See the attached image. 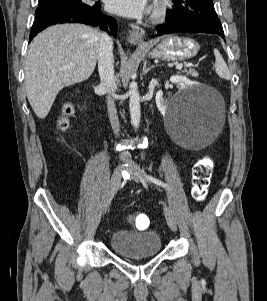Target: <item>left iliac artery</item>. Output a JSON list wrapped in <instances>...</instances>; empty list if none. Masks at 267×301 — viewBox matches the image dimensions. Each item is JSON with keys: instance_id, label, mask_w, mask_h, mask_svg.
<instances>
[{"instance_id": "left-iliac-artery-1", "label": "left iliac artery", "mask_w": 267, "mask_h": 301, "mask_svg": "<svg viewBox=\"0 0 267 301\" xmlns=\"http://www.w3.org/2000/svg\"><path fill=\"white\" fill-rule=\"evenodd\" d=\"M141 173H145L143 170H141ZM147 179L150 180L151 182L155 183L156 185L160 186V187H163V188H166L169 190V186L164 183L163 181L159 180V179H156L150 175H146Z\"/></svg>"}]
</instances>
